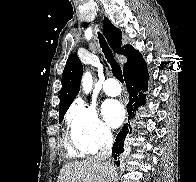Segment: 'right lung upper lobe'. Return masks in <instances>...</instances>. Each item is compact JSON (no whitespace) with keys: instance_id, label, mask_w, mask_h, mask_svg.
Segmentation results:
<instances>
[{"instance_id":"right-lung-upper-lobe-1","label":"right lung upper lobe","mask_w":196,"mask_h":182,"mask_svg":"<svg viewBox=\"0 0 196 182\" xmlns=\"http://www.w3.org/2000/svg\"><path fill=\"white\" fill-rule=\"evenodd\" d=\"M103 32L111 48L118 54L126 56L127 62L124 65V71L142 58V55L131 45L121 47L122 33L120 29L105 18L103 21ZM83 74L82 64L76 54H71L66 62L62 74V88L60 91L59 116L65 115L70 104L77 96L80 88L81 77Z\"/></svg>"}]
</instances>
